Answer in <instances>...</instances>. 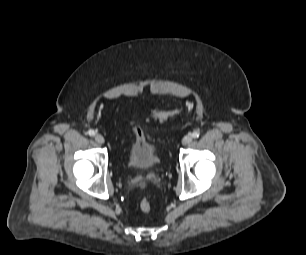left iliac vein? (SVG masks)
I'll return each instance as SVG.
<instances>
[{
  "mask_svg": "<svg viewBox=\"0 0 306 255\" xmlns=\"http://www.w3.org/2000/svg\"><path fill=\"white\" fill-rule=\"evenodd\" d=\"M193 140L192 136L191 135H186L183 137L182 139V144L183 145H188L189 143H191Z\"/></svg>",
  "mask_w": 306,
  "mask_h": 255,
  "instance_id": "4c4485c4",
  "label": "left iliac vein"
}]
</instances>
